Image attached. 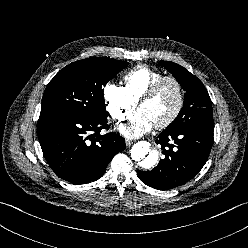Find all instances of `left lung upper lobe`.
<instances>
[{"label": "left lung upper lobe", "mask_w": 248, "mask_h": 248, "mask_svg": "<svg viewBox=\"0 0 248 248\" xmlns=\"http://www.w3.org/2000/svg\"><path fill=\"white\" fill-rule=\"evenodd\" d=\"M186 91L183 108L166 129L213 128L212 105L203 83L184 67L169 61H160Z\"/></svg>", "instance_id": "1"}]
</instances>
